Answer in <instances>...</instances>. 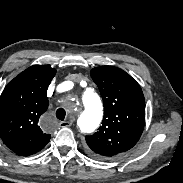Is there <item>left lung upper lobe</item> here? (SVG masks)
Segmentation results:
<instances>
[{
  "label": "left lung upper lobe",
  "mask_w": 183,
  "mask_h": 183,
  "mask_svg": "<svg viewBox=\"0 0 183 183\" xmlns=\"http://www.w3.org/2000/svg\"><path fill=\"white\" fill-rule=\"evenodd\" d=\"M104 104L102 126L86 136L87 150L98 158H112L131 149L145 124V99L139 84L125 71L100 66L90 72Z\"/></svg>",
  "instance_id": "obj_1"
}]
</instances>
